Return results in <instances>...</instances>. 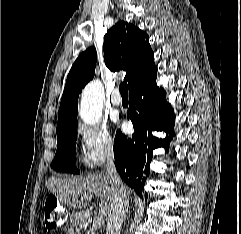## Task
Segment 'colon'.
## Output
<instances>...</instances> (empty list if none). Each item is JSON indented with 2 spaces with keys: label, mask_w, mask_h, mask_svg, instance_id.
I'll use <instances>...</instances> for the list:
<instances>
[{
  "label": "colon",
  "mask_w": 241,
  "mask_h": 234,
  "mask_svg": "<svg viewBox=\"0 0 241 234\" xmlns=\"http://www.w3.org/2000/svg\"><path fill=\"white\" fill-rule=\"evenodd\" d=\"M66 220V211L54 196L46 198L44 203V223L48 229H56Z\"/></svg>",
  "instance_id": "colon-1"
}]
</instances>
